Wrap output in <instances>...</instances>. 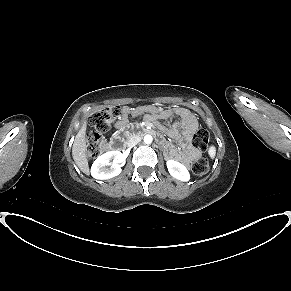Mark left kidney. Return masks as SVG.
I'll return each mask as SVG.
<instances>
[{
  "label": "left kidney",
  "mask_w": 291,
  "mask_h": 291,
  "mask_svg": "<svg viewBox=\"0 0 291 291\" xmlns=\"http://www.w3.org/2000/svg\"><path fill=\"white\" fill-rule=\"evenodd\" d=\"M166 164L168 171L172 177L181 181H189L190 179L189 171L183 164L175 160H168Z\"/></svg>",
  "instance_id": "1"
}]
</instances>
